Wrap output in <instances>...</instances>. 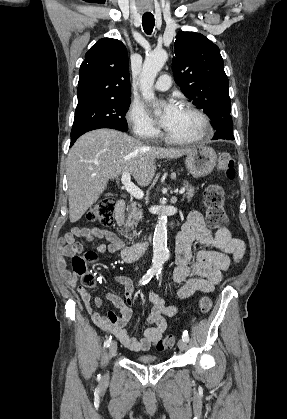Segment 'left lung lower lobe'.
I'll use <instances>...</instances> for the list:
<instances>
[{
    "mask_svg": "<svg viewBox=\"0 0 287 419\" xmlns=\"http://www.w3.org/2000/svg\"><path fill=\"white\" fill-rule=\"evenodd\" d=\"M216 130L217 131L215 132L212 138L213 140H218V139L234 140L231 116H227L224 123Z\"/></svg>",
    "mask_w": 287,
    "mask_h": 419,
    "instance_id": "0a47b994",
    "label": "left lung lower lobe"
}]
</instances>
